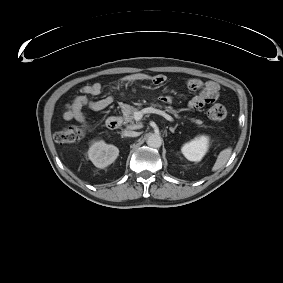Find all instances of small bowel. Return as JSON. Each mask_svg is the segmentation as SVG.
<instances>
[{
    "mask_svg": "<svg viewBox=\"0 0 283 283\" xmlns=\"http://www.w3.org/2000/svg\"><path fill=\"white\" fill-rule=\"evenodd\" d=\"M142 81H152L155 85H162L165 82V78L163 76L153 77L147 73L136 72L128 74L122 79L124 84H132ZM188 86L196 92L189 102V107L191 109H201L207 103L213 102L218 98L219 85L214 81L202 83L198 79H191L188 82ZM101 89L102 87L100 83H90L82 86L80 94L67 105V108L63 113V118L66 121H83L85 118L83 114L84 108L100 111L110 106L114 101L112 96H106L97 100L89 98V96L99 95ZM162 101L169 104L171 103L172 98L166 95L162 97Z\"/></svg>",
    "mask_w": 283,
    "mask_h": 283,
    "instance_id": "obj_1",
    "label": "small bowel"
}]
</instances>
